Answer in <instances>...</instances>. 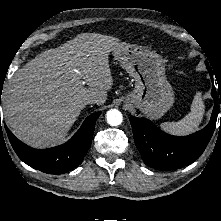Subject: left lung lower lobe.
Listing matches in <instances>:
<instances>
[{
    "instance_id": "1",
    "label": "left lung lower lobe",
    "mask_w": 221,
    "mask_h": 221,
    "mask_svg": "<svg viewBox=\"0 0 221 221\" xmlns=\"http://www.w3.org/2000/svg\"><path fill=\"white\" fill-rule=\"evenodd\" d=\"M210 76L212 78L211 72ZM211 94L215 105L210 123L189 136H172L161 131L148 119L129 118L135 144L146 165L157 170H173L189 165L200 157L213 135L217 120L218 102L214 86Z\"/></svg>"
}]
</instances>
